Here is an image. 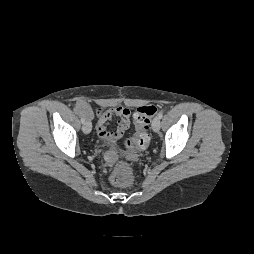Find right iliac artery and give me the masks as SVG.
<instances>
[{
    "instance_id": "82829eb1",
    "label": "right iliac artery",
    "mask_w": 254,
    "mask_h": 254,
    "mask_svg": "<svg viewBox=\"0 0 254 254\" xmlns=\"http://www.w3.org/2000/svg\"><path fill=\"white\" fill-rule=\"evenodd\" d=\"M81 122H82V123H84V122H85V119H84L83 117L81 118Z\"/></svg>"
}]
</instances>
